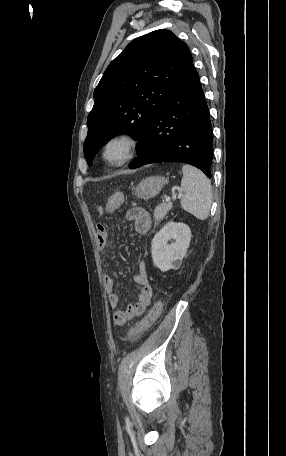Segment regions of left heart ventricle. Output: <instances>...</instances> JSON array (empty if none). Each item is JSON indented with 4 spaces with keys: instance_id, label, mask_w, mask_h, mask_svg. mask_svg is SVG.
Returning <instances> with one entry per match:
<instances>
[{
    "instance_id": "1",
    "label": "left heart ventricle",
    "mask_w": 286,
    "mask_h": 456,
    "mask_svg": "<svg viewBox=\"0 0 286 456\" xmlns=\"http://www.w3.org/2000/svg\"><path fill=\"white\" fill-rule=\"evenodd\" d=\"M128 144L125 141L119 140L113 142L107 150L106 156L110 161H119L127 155Z\"/></svg>"
}]
</instances>
